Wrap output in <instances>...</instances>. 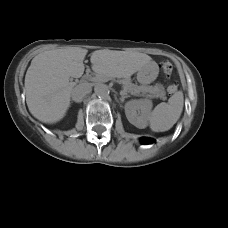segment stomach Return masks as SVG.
I'll list each match as a JSON object with an SVG mask.
<instances>
[{
    "label": "stomach",
    "mask_w": 228,
    "mask_h": 228,
    "mask_svg": "<svg viewBox=\"0 0 228 228\" xmlns=\"http://www.w3.org/2000/svg\"><path fill=\"white\" fill-rule=\"evenodd\" d=\"M158 75V66L155 63H150L147 67L141 69L137 73V80L143 85L152 83Z\"/></svg>",
    "instance_id": "stomach-1"
}]
</instances>
